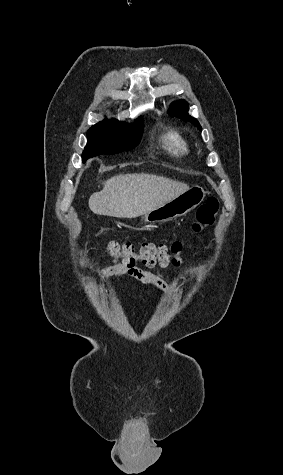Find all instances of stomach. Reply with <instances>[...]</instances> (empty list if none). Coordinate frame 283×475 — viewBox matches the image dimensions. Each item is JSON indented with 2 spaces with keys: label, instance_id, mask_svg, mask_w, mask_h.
Wrapping results in <instances>:
<instances>
[{
  "label": "stomach",
  "instance_id": "0dacf381",
  "mask_svg": "<svg viewBox=\"0 0 283 475\" xmlns=\"http://www.w3.org/2000/svg\"><path fill=\"white\" fill-rule=\"evenodd\" d=\"M206 192L200 186H194L190 188L185 194L173 198L170 202H166L163 206H159L156 210H151L142 216L144 222L149 224H163V222H169L173 218H179V216H185L194 208H197L205 198Z\"/></svg>",
  "mask_w": 283,
  "mask_h": 475
}]
</instances>
